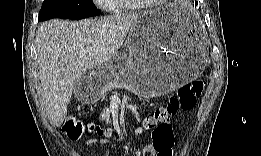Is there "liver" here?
<instances>
[{"mask_svg": "<svg viewBox=\"0 0 261 156\" xmlns=\"http://www.w3.org/2000/svg\"><path fill=\"white\" fill-rule=\"evenodd\" d=\"M140 13L79 22L52 19L39 25L35 47L44 105L61 126L74 85L89 69L109 61L123 45Z\"/></svg>", "mask_w": 261, "mask_h": 156, "instance_id": "obj_1", "label": "liver"}]
</instances>
